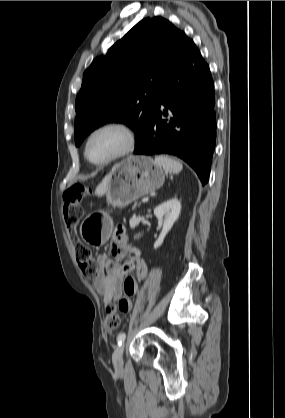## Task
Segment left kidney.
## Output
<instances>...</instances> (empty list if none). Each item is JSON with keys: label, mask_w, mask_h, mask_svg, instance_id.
<instances>
[{"label": "left kidney", "mask_w": 285, "mask_h": 418, "mask_svg": "<svg viewBox=\"0 0 285 418\" xmlns=\"http://www.w3.org/2000/svg\"><path fill=\"white\" fill-rule=\"evenodd\" d=\"M181 211V202L177 198H172L154 209V215L158 220L163 221V227L161 233L154 243V248L160 247L166 237L167 233L171 230L175 221L178 219Z\"/></svg>", "instance_id": "obj_1"}]
</instances>
